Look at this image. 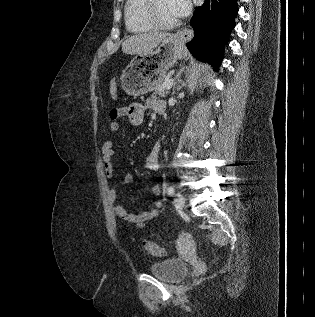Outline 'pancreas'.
I'll use <instances>...</instances> for the list:
<instances>
[{
    "label": "pancreas",
    "mask_w": 315,
    "mask_h": 317,
    "mask_svg": "<svg viewBox=\"0 0 315 317\" xmlns=\"http://www.w3.org/2000/svg\"><path fill=\"white\" fill-rule=\"evenodd\" d=\"M166 81L161 83L158 87L154 89L152 97H166L169 91L166 89Z\"/></svg>",
    "instance_id": "obj_1"
}]
</instances>
